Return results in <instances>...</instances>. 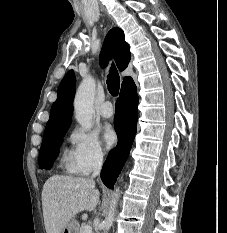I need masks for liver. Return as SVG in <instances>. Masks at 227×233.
<instances>
[{"label":"liver","mask_w":227,"mask_h":233,"mask_svg":"<svg viewBox=\"0 0 227 233\" xmlns=\"http://www.w3.org/2000/svg\"><path fill=\"white\" fill-rule=\"evenodd\" d=\"M100 192L92 178L53 175L42 189V208L46 233H61L79 212L94 211Z\"/></svg>","instance_id":"1"}]
</instances>
